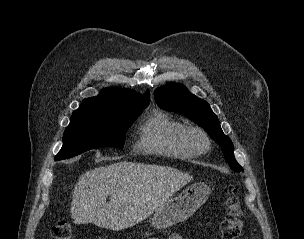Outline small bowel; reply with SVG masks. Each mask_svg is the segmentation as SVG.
Returning <instances> with one entry per match:
<instances>
[{
    "label": "small bowel",
    "instance_id": "small-bowel-1",
    "mask_svg": "<svg viewBox=\"0 0 304 239\" xmlns=\"http://www.w3.org/2000/svg\"><path fill=\"white\" fill-rule=\"evenodd\" d=\"M168 239H184V237L179 233H174Z\"/></svg>",
    "mask_w": 304,
    "mask_h": 239
}]
</instances>
